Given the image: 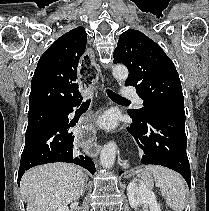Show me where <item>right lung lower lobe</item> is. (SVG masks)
<instances>
[{"label": "right lung lower lobe", "mask_w": 209, "mask_h": 211, "mask_svg": "<svg viewBox=\"0 0 209 211\" xmlns=\"http://www.w3.org/2000/svg\"><path fill=\"white\" fill-rule=\"evenodd\" d=\"M80 103L81 101H78L63 107L54 121L25 142L18 171V185L26 170L51 162L74 163L86 168L91 174L95 173L93 161L88 156L77 154L73 149L74 135L70 128L76 122L69 121L68 115L73 112V107Z\"/></svg>", "instance_id": "obj_1"}]
</instances>
